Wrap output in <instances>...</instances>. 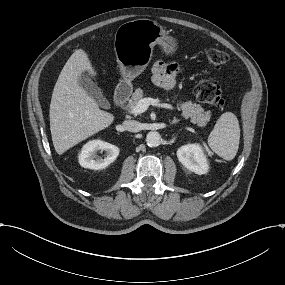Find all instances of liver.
Wrapping results in <instances>:
<instances>
[{
	"mask_svg": "<svg viewBox=\"0 0 285 285\" xmlns=\"http://www.w3.org/2000/svg\"><path fill=\"white\" fill-rule=\"evenodd\" d=\"M85 73L99 77L87 51L79 48L64 65L50 104V130L58 155L108 128L115 120V115L99 109L81 85Z\"/></svg>",
	"mask_w": 285,
	"mask_h": 285,
	"instance_id": "1",
	"label": "liver"
}]
</instances>
